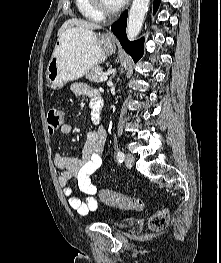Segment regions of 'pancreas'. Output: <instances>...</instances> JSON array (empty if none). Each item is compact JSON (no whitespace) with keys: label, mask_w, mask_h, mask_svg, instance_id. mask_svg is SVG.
<instances>
[{"label":"pancreas","mask_w":221,"mask_h":263,"mask_svg":"<svg viewBox=\"0 0 221 263\" xmlns=\"http://www.w3.org/2000/svg\"><path fill=\"white\" fill-rule=\"evenodd\" d=\"M103 74V69L100 66H94L89 72L86 74V79L91 82L99 83V77Z\"/></svg>","instance_id":"pancreas-1"}]
</instances>
